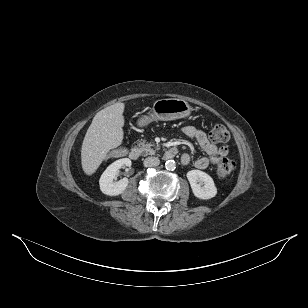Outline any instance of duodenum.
<instances>
[{"label":"duodenum","mask_w":308,"mask_h":308,"mask_svg":"<svg viewBox=\"0 0 308 308\" xmlns=\"http://www.w3.org/2000/svg\"><path fill=\"white\" fill-rule=\"evenodd\" d=\"M177 149L176 148H169L168 150L165 151L164 153V158L165 159H172L177 155ZM141 157V150L138 148H133L129 152V158L133 161L138 160Z\"/></svg>","instance_id":"duodenum-1"}]
</instances>
